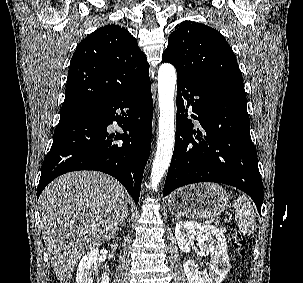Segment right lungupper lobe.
<instances>
[{"label": "right lung upper lobe", "instance_id": "cb5924a9", "mask_svg": "<svg viewBox=\"0 0 303 283\" xmlns=\"http://www.w3.org/2000/svg\"><path fill=\"white\" fill-rule=\"evenodd\" d=\"M149 80V64L137 40L124 27L106 25L76 48L61 115L125 95Z\"/></svg>", "mask_w": 303, "mask_h": 283}]
</instances>
